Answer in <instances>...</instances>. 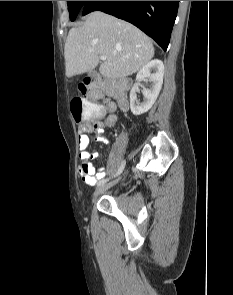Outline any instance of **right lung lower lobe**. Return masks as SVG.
Listing matches in <instances>:
<instances>
[{"instance_id":"98d812e1","label":"right lung lower lobe","mask_w":233,"mask_h":295,"mask_svg":"<svg viewBox=\"0 0 233 295\" xmlns=\"http://www.w3.org/2000/svg\"><path fill=\"white\" fill-rule=\"evenodd\" d=\"M179 1H86L83 15L102 11L124 19L153 38L165 51L177 16Z\"/></svg>"}]
</instances>
